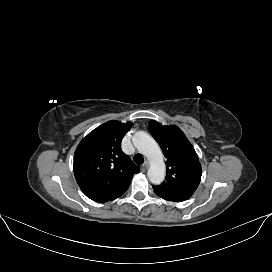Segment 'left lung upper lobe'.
I'll return each instance as SVG.
<instances>
[{
    "label": "left lung upper lobe",
    "instance_id": "obj_1",
    "mask_svg": "<svg viewBox=\"0 0 272 272\" xmlns=\"http://www.w3.org/2000/svg\"><path fill=\"white\" fill-rule=\"evenodd\" d=\"M149 129L167 158L166 180L153 189L173 197L189 199L197 189L202 174L193 146L177 126H162L151 120Z\"/></svg>",
    "mask_w": 272,
    "mask_h": 272
}]
</instances>
